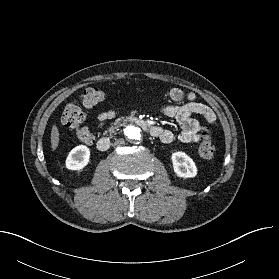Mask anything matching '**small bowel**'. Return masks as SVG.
Segmentation results:
<instances>
[{"mask_svg":"<svg viewBox=\"0 0 279 279\" xmlns=\"http://www.w3.org/2000/svg\"><path fill=\"white\" fill-rule=\"evenodd\" d=\"M169 98L182 105H163L161 112L171 118H174L181 127L180 133L176 136L172 131L157 127L159 132L156 135L162 142L170 143L175 139L183 143H197L202 139L204 131H209L207 126L202 125L197 119L193 118L194 114L202 116L207 123L212 124L216 120L214 111L207 105L196 101V94L192 91L185 93L179 88H171L168 92ZM116 116L115 111L105 110L97 114L99 126H103Z\"/></svg>","mask_w":279,"mask_h":279,"instance_id":"obj_1","label":"small bowel"}]
</instances>
